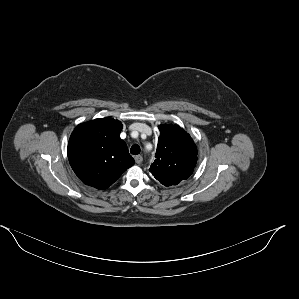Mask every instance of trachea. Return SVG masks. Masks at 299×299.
Listing matches in <instances>:
<instances>
[{"instance_id": "3493384b", "label": "trachea", "mask_w": 299, "mask_h": 299, "mask_svg": "<svg viewBox=\"0 0 299 299\" xmlns=\"http://www.w3.org/2000/svg\"><path fill=\"white\" fill-rule=\"evenodd\" d=\"M140 151H141L140 146L137 145V144L133 145V146L130 148V153L133 154V155H137V154H139Z\"/></svg>"}]
</instances>
